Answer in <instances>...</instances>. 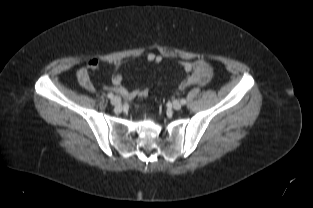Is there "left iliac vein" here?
<instances>
[{
	"mask_svg": "<svg viewBox=\"0 0 313 208\" xmlns=\"http://www.w3.org/2000/svg\"><path fill=\"white\" fill-rule=\"evenodd\" d=\"M172 106L175 110H180L182 107V103L179 100H175L173 101Z\"/></svg>",
	"mask_w": 313,
	"mask_h": 208,
	"instance_id": "4c4485c4",
	"label": "left iliac vein"
}]
</instances>
